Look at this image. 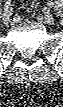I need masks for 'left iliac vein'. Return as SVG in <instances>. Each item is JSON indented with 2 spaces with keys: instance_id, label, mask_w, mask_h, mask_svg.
<instances>
[{
  "instance_id": "1",
  "label": "left iliac vein",
  "mask_w": 63,
  "mask_h": 107,
  "mask_svg": "<svg viewBox=\"0 0 63 107\" xmlns=\"http://www.w3.org/2000/svg\"><path fill=\"white\" fill-rule=\"evenodd\" d=\"M43 19L49 25H53L55 22V18L51 13H45Z\"/></svg>"
}]
</instances>
